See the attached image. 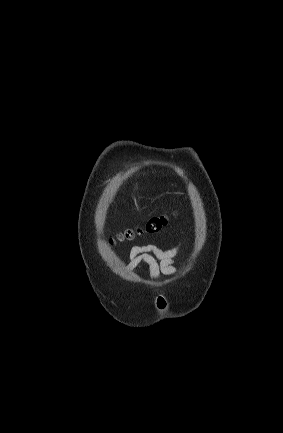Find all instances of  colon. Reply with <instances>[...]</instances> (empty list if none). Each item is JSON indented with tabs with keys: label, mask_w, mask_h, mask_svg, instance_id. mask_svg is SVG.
<instances>
[{
	"label": "colon",
	"mask_w": 283,
	"mask_h": 433,
	"mask_svg": "<svg viewBox=\"0 0 283 433\" xmlns=\"http://www.w3.org/2000/svg\"><path fill=\"white\" fill-rule=\"evenodd\" d=\"M167 222L165 217H154L151 218L145 225V230L147 232H156L159 231ZM136 231L127 230L120 237L121 239H129L135 235Z\"/></svg>",
	"instance_id": "5ec220e1"
}]
</instances>
